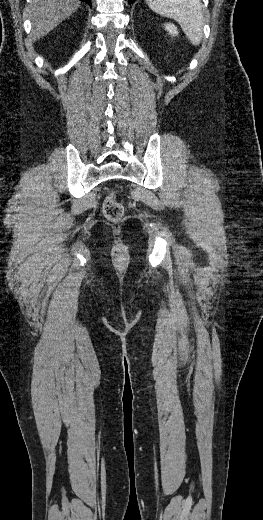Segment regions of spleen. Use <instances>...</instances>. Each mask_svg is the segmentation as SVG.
Wrapping results in <instances>:
<instances>
[{
    "label": "spleen",
    "instance_id": "1",
    "mask_svg": "<svg viewBox=\"0 0 263 520\" xmlns=\"http://www.w3.org/2000/svg\"><path fill=\"white\" fill-rule=\"evenodd\" d=\"M154 12L178 22L195 46L203 38V6L200 0H146Z\"/></svg>",
    "mask_w": 263,
    "mask_h": 520
}]
</instances>
